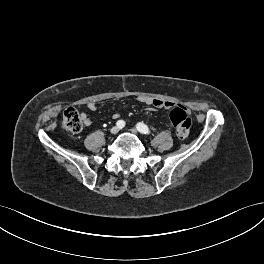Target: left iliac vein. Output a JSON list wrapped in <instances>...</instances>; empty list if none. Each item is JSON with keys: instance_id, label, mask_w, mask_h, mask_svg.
I'll use <instances>...</instances> for the list:
<instances>
[{"instance_id": "obj_1", "label": "left iliac vein", "mask_w": 264, "mask_h": 264, "mask_svg": "<svg viewBox=\"0 0 264 264\" xmlns=\"http://www.w3.org/2000/svg\"><path fill=\"white\" fill-rule=\"evenodd\" d=\"M131 133L138 134V131L135 128L130 129Z\"/></svg>"}]
</instances>
